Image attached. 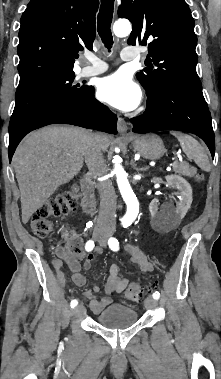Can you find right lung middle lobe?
<instances>
[{"label": "right lung middle lobe", "instance_id": "obj_1", "mask_svg": "<svg viewBox=\"0 0 221 379\" xmlns=\"http://www.w3.org/2000/svg\"><path fill=\"white\" fill-rule=\"evenodd\" d=\"M73 70L38 74L19 82L9 133L35 115L50 108L73 102L85 94L89 86L75 84Z\"/></svg>", "mask_w": 221, "mask_h": 379}]
</instances>
